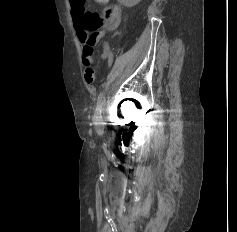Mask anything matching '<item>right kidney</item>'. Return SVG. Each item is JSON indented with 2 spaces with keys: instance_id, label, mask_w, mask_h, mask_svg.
I'll use <instances>...</instances> for the list:
<instances>
[{
  "instance_id": "1",
  "label": "right kidney",
  "mask_w": 237,
  "mask_h": 232,
  "mask_svg": "<svg viewBox=\"0 0 237 232\" xmlns=\"http://www.w3.org/2000/svg\"><path fill=\"white\" fill-rule=\"evenodd\" d=\"M122 5L126 6V7H133L135 5H137L141 0H118Z\"/></svg>"
}]
</instances>
